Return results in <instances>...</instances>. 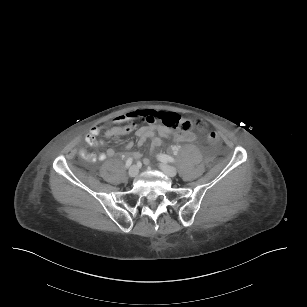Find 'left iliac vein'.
I'll use <instances>...</instances> for the list:
<instances>
[{"label": "left iliac vein", "mask_w": 307, "mask_h": 307, "mask_svg": "<svg viewBox=\"0 0 307 307\" xmlns=\"http://www.w3.org/2000/svg\"><path fill=\"white\" fill-rule=\"evenodd\" d=\"M160 168L169 177H175L177 175V170L173 166L167 164H161Z\"/></svg>", "instance_id": "obj_1"}]
</instances>
